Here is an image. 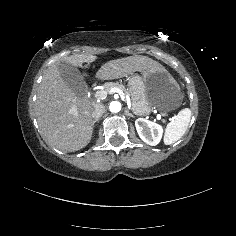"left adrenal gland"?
<instances>
[{
	"label": "left adrenal gland",
	"instance_id": "left-adrenal-gland-1",
	"mask_svg": "<svg viewBox=\"0 0 236 236\" xmlns=\"http://www.w3.org/2000/svg\"><path fill=\"white\" fill-rule=\"evenodd\" d=\"M125 114L130 116V117H133V115L127 110V108L125 109Z\"/></svg>",
	"mask_w": 236,
	"mask_h": 236
}]
</instances>
